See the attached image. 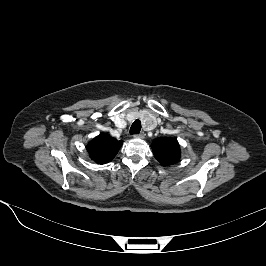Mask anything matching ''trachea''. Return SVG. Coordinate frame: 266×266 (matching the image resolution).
<instances>
[{"mask_svg":"<svg viewBox=\"0 0 266 266\" xmlns=\"http://www.w3.org/2000/svg\"><path fill=\"white\" fill-rule=\"evenodd\" d=\"M140 130H141V122L140 120H136L131 128H130V134H139L140 133Z\"/></svg>","mask_w":266,"mask_h":266,"instance_id":"3493384b","label":"trachea"}]
</instances>
